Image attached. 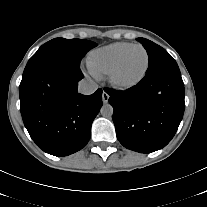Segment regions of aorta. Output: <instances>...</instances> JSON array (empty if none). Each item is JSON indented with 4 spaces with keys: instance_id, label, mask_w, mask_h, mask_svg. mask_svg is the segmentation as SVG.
<instances>
[{
    "instance_id": "aorta-1",
    "label": "aorta",
    "mask_w": 207,
    "mask_h": 207,
    "mask_svg": "<svg viewBox=\"0 0 207 207\" xmlns=\"http://www.w3.org/2000/svg\"><path fill=\"white\" fill-rule=\"evenodd\" d=\"M113 112V107L110 104H104L100 109V113L104 117H111Z\"/></svg>"
}]
</instances>
